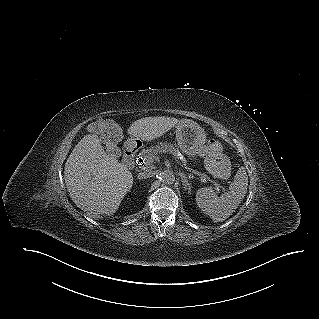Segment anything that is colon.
I'll use <instances>...</instances> for the list:
<instances>
[{
    "instance_id": "5ec220e1",
    "label": "colon",
    "mask_w": 319,
    "mask_h": 319,
    "mask_svg": "<svg viewBox=\"0 0 319 319\" xmlns=\"http://www.w3.org/2000/svg\"><path fill=\"white\" fill-rule=\"evenodd\" d=\"M87 132L89 134H100L105 140L103 147L106 150H112L115 145L122 141L121 128L110 119L94 121ZM203 153L206 157V166L209 172L219 179L226 178L230 168L228 159L223 153L222 145L216 140H211L204 148ZM112 156L115 159H120L123 156V151L120 148H115L112 151Z\"/></svg>"
}]
</instances>
